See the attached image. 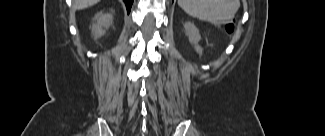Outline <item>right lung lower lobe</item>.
<instances>
[{"mask_svg": "<svg viewBox=\"0 0 325 136\" xmlns=\"http://www.w3.org/2000/svg\"><path fill=\"white\" fill-rule=\"evenodd\" d=\"M126 4V8H127V12L129 13L130 12V9H131V6H132V3H133V0H123Z\"/></svg>", "mask_w": 325, "mask_h": 136, "instance_id": "1", "label": "right lung lower lobe"}]
</instances>
